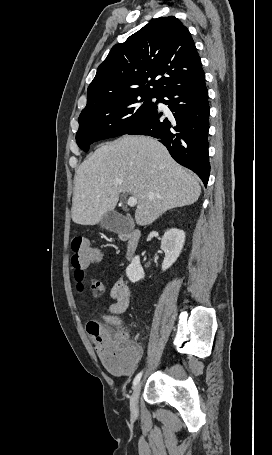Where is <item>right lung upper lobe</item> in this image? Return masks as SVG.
I'll use <instances>...</instances> for the list:
<instances>
[{
    "mask_svg": "<svg viewBox=\"0 0 272 455\" xmlns=\"http://www.w3.org/2000/svg\"><path fill=\"white\" fill-rule=\"evenodd\" d=\"M203 72L188 29L174 16L157 18L112 47L81 113L135 95L160 96Z\"/></svg>",
    "mask_w": 272,
    "mask_h": 455,
    "instance_id": "cb5924a9",
    "label": "right lung upper lobe"
}]
</instances>
